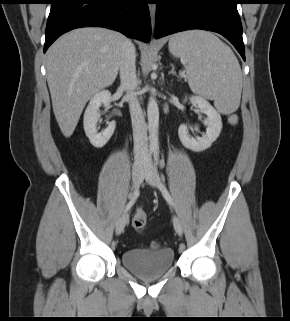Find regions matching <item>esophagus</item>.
<instances>
[{
	"label": "esophagus",
	"instance_id": "34e87169",
	"mask_svg": "<svg viewBox=\"0 0 290 321\" xmlns=\"http://www.w3.org/2000/svg\"><path fill=\"white\" fill-rule=\"evenodd\" d=\"M149 12H150L152 29H154V25H155V14H156V6H155V4H150V5H149Z\"/></svg>",
	"mask_w": 290,
	"mask_h": 321
}]
</instances>
